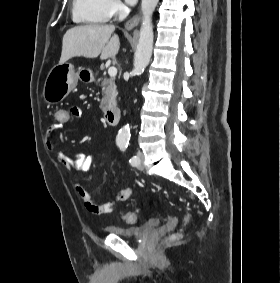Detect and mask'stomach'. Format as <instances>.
Returning a JSON list of instances; mask_svg holds the SVG:
<instances>
[{
    "instance_id": "stomach-1",
    "label": "stomach",
    "mask_w": 280,
    "mask_h": 283,
    "mask_svg": "<svg viewBox=\"0 0 280 283\" xmlns=\"http://www.w3.org/2000/svg\"><path fill=\"white\" fill-rule=\"evenodd\" d=\"M88 74V70L78 69L76 71L73 65L69 63L55 65L45 79L43 87L44 101L49 104L63 101L77 86L78 80L87 78Z\"/></svg>"
}]
</instances>
